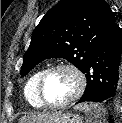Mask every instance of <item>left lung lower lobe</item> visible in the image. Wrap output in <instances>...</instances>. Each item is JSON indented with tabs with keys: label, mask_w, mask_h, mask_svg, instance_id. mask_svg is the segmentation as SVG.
I'll list each match as a JSON object with an SVG mask.
<instances>
[{
	"label": "left lung lower lobe",
	"mask_w": 122,
	"mask_h": 123,
	"mask_svg": "<svg viewBox=\"0 0 122 123\" xmlns=\"http://www.w3.org/2000/svg\"><path fill=\"white\" fill-rule=\"evenodd\" d=\"M121 52L122 38L115 22L92 52L83 71L87 78V86L77 103L111 102L117 99Z\"/></svg>",
	"instance_id": "1"
}]
</instances>
